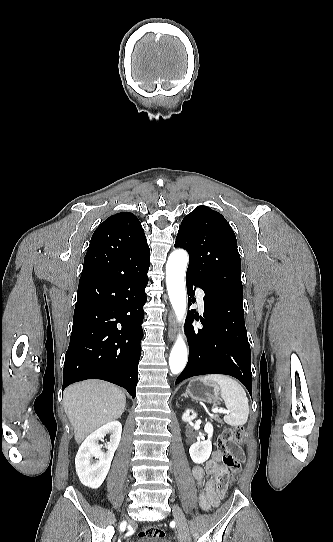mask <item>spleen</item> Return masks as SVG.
Listing matches in <instances>:
<instances>
[{"instance_id":"1","label":"spleen","mask_w":333,"mask_h":542,"mask_svg":"<svg viewBox=\"0 0 333 542\" xmlns=\"http://www.w3.org/2000/svg\"><path fill=\"white\" fill-rule=\"evenodd\" d=\"M203 380L204 382L216 384L220 392V398L228 410V414L223 418L225 424L234 426V428L247 424L249 402L241 384H238L230 376H222V374H210V376H204Z\"/></svg>"}]
</instances>
